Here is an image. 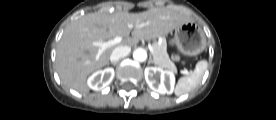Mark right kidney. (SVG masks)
I'll use <instances>...</instances> for the list:
<instances>
[{"label": "right kidney", "instance_id": "1", "mask_svg": "<svg viewBox=\"0 0 276 120\" xmlns=\"http://www.w3.org/2000/svg\"><path fill=\"white\" fill-rule=\"evenodd\" d=\"M114 77L113 68H105L104 70H98L94 72L87 81L88 86L95 90L101 91L108 86Z\"/></svg>", "mask_w": 276, "mask_h": 120}]
</instances>
